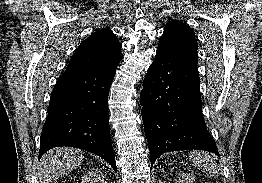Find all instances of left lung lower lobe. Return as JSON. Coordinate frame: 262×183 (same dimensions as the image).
<instances>
[{"label": "left lung lower lobe", "mask_w": 262, "mask_h": 183, "mask_svg": "<svg viewBox=\"0 0 262 183\" xmlns=\"http://www.w3.org/2000/svg\"><path fill=\"white\" fill-rule=\"evenodd\" d=\"M140 101L151 166L170 151L198 149L219 156L202 114L197 67L156 53Z\"/></svg>", "instance_id": "obj_1"}]
</instances>
